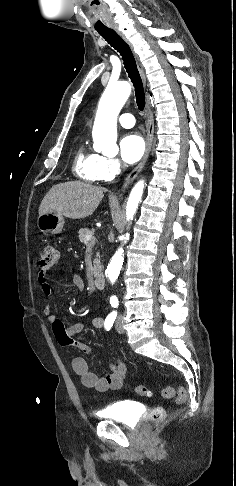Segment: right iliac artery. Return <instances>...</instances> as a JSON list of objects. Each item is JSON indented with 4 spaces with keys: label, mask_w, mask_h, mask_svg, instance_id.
Wrapping results in <instances>:
<instances>
[{
    "label": "right iliac artery",
    "mask_w": 236,
    "mask_h": 486,
    "mask_svg": "<svg viewBox=\"0 0 236 486\" xmlns=\"http://www.w3.org/2000/svg\"><path fill=\"white\" fill-rule=\"evenodd\" d=\"M116 316H117V312L116 311H112L108 316L107 318L105 319V328L107 331H109L111 329V327L113 326V323L116 319Z\"/></svg>",
    "instance_id": "1"
}]
</instances>
